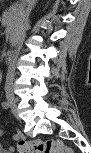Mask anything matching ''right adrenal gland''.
I'll list each match as a JSON object with an SVG mask.
<instances>
[{
	"label": "right adrenal gland",
	"mask_w": 91,
	"mask_h": 153,
	"mask_svg": "<svg viewBox=\"0 0 91 153\" xmlns=\"http://www.w3.org/2000/svg\"><path fill=\"white\" fill-rule=\"evenodd\" d=\"M37 1H38V0L35 1V4H36ZM35 4H34V6H35ZM34 6H33V8H34Z\"/></svg>",
	"instance_id": "1"
}]
</instances>
